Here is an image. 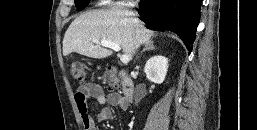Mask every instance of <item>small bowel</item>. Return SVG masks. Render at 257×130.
<instances>
[{
  "label": "small bowel",
  "mask_w": 257,
  "mask_h": 130,
  "mask_svg": "<svg viewBox=\"0 0 257 130\" xmlns=\"http://www.w3.org/2000/svg\"><path fill=\"white\" fill-rule=\"evenodd\" d=\"M90 99H95L99 104L103 105L96 116L98 122H103L113 117L112 107H117L124 111L128 106L126 99L121 94L116 92L106 94L99 84L85 83L79 86L75 93V102L85 130H97L95 120L88 109V101Z\"/></svg>",
  "instance_id": "obj_1"
}]
</instances>
